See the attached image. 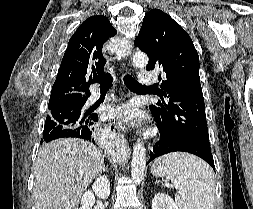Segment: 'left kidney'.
I'll return each mask as SVG.
<instances>
[{
    "label": "left kidney",
    "instance_id": "5707ae66",
    "mask_svg": "<svg viewBox=\"0 0 253 209\" xmlns=\"http://www.w3.org/2000/svg\"><path fill=\"white\" fill-rule=\"evenodd\" d=\"M152 209H179L170 196L158 193L152 200Z\"/></svg>",
    "mask_w": 253,
    "mask_h": 209
}]
</instances>
